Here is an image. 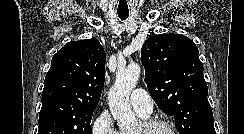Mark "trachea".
<instances>
[{
  "instance_id": "3493384b",
  "label": "trachea",
  "mask_w": 244,
  "mask_h": 134,
  "mask_svg": "<svg viewBox=\"0 0 244 134\" xmlns=\"http://www.w3.org/2000/svg\"><path fill=\"white\" fill-rule=\"evenodd\" d=\"M118 16L121 20H126L129 16V13H118Z\"/></svg>"
}]
</instances>
